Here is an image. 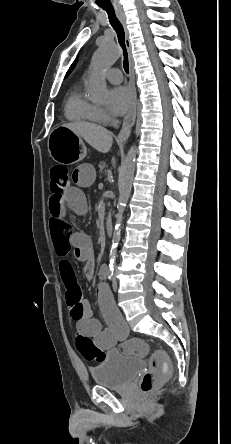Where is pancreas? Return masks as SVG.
I'll list each match as a JSON object with an SVG mask.
<instances>
[{
  "label": "pancreas",
  "mask_w": 231,
  "mask_h": 444,
  "mask_svg": "<svg viewBox=\"0 0 231 444\" xmlns=\"http://www.w3.org/2000/svg\"><path fill=\"white\" fill-rule=\"evenodd\" d=\"M98 167H99V173L104 174L107 172V170H106L107 169V162L106 161H101L98 164Z\"/></svg>",
  "instance_id": "pancreas-1"
}]
</instances>
